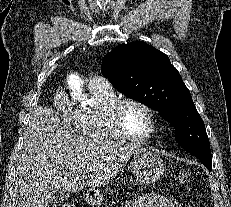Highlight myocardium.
<instances>
[{
	"instance_id": "obj_1",
	"label": "myocardium",
	"mask_w": 231,
	"mask_h": 207,
	"mask_svg": "<svg viewBox=\"0 0 231 207\" xmlns=\"http://www.w3.org/2000/svg\"><path fill=\"white\" fill-rule=\"evenodd\" d=\"M129 104H134L142 107L149 115L151 121V130L149 134L145 137H133L125 129V126L122 121V111L124 107ZM108 121L111 128L121 139L136 144H141L150 141L156 135L158 129V118L155 110L144 101H141L136 98L117 99L108 111Z\"/></svg>"
}]
</instances>
